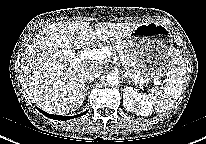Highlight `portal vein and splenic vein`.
Listing matches in <instances>:
<instances>
[{"instance_id":"1","label":"portal vein and splenic vein","mask_w":206,"mask_h":144,"mask_svg":"<svg viewBox=\"0 0 206 144\" xmlns=\"http://www.w3.org/2000/svg\"><path fill=\"white\" fill-rule=\"evenodd\" d=\"M65 53H68L70 55L75 56L76 53L72 52V51H67L64 50ZM112 55L111 50L109 49V47H101V48H97V49H85L84 51H81L78 55H77V59L76 61H80V60H103L104 58H107L109 56ZM120 57V61L122 63V65L124 66V68L127 70V62L124 59V57L119 54ZM127 75H129V77L138 82L139 78L137 76H134L132 73H129L128 71L126 72ZM156 83L159 85V82L156 81Z\"/></svg>"}]
</instances>
